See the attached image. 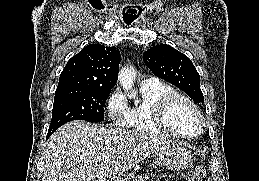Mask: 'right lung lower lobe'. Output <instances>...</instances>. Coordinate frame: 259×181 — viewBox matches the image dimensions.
Instances as JSON below:
<instances>
[{
  "mask_svg": "<svg viewBox=\"0 0 259 181\" xmlns=\"http://www.w3.org/2000/svg\"><path fill=\"white\" fill-rule=\"evenodd\" d=\"M51 134H47V138L50 136Z\"/></svg>",
  "mask_w": 259,
  "mask_h": 181,
  "instance_id": "right-lung-lower-lobe-1",
  "label": "right lung lower lobe"
}]
</instances>
